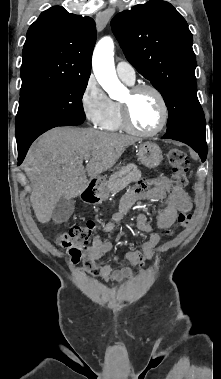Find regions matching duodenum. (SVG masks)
<instances>
[{
  "instance_id": "1",
  "label": "duodenum",
  "mask_w": 221,
  "mask_h": 379,
  "mask_svg": "<svg viewBox=\"0 0 221 379\" xmlns=\"http://www.w3.org/2000/svg\"><path fill=\"white\" fill-rule=\"evenodd\" d=\"M97 188H98V181L96 179L91 180L84 191V194H83L84 198L91 203L96 202L98 200Z\"/></svg>"
}]
</instances>
